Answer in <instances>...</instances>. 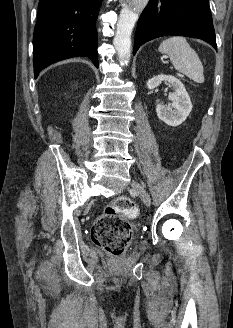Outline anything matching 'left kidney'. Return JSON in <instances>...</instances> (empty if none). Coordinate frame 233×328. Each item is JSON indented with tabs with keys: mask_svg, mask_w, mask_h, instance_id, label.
Returning <instances> with one entry per match:
<instances>
[{
	"mask_svg": "<svg viewBox=\"0 0 233 328\" xmlns=\"http://www.w3.org/2000/svg\"><path fill=\"white\" fill-rule=\"evenodd\" d=\"M162 81H166L173 88L169 94L172 101L171 106H165L161 103L156 105L158 118L169 126H178L182 124L192 111V103L183 83L171 75H157L149 79L146 86L149 90L158 87ZM158 102V101H157Z\"/></svg>",
	"mask_w": 233,
	"mask_h": 328,
	"instance_id": "1",
	"label": "left kidney"
}]
</instances>
